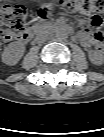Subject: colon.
<instances>
[{"instance_id": "5ec220e1", "label": "colon", "mask_w": 104, "mask_h": 137, "mask_svg": "<svg viewBox=\"0 0 104 137\" xmlns=\"http://www.w3.org/2000/svg\"><path fill=\"white\" fill-rule=\"evenodd\" d=\"M58 5L65 11L71 13H91V25L93 27L92 37L97 42L103 39L101 30L102 19L99 16L104 10V0H57ZM51 12L49 7H43L39 11V18L46 19ZM3 37L8 38L14 33L23 31L28 22V11L22 4L5 5L0 12Z\"/></svg>"}]
</instances>
